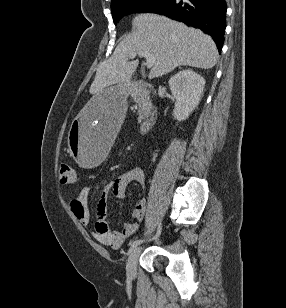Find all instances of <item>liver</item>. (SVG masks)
<instances>
[{
    "label": "liver",
    "instance_id": "obj_1",
    "mask_svg": "<svg viewBox=\"0 0 286 308\" xmlns=\"http://www.w3.org/2000/svg\"><path fill=\"white\" fill-rule=\"evenodd\" d=\"M133 32L115 48L112 56L99 64L90 93L97 96L113 84L127 85L138 66L128 62L130 53L145 51L156 56L149 77H161L178 66L210 69L217 62V48L202 31L156 14L133 19Z\"/></svg>",
    "mask_w": 286,
    "mask_h": 308
}]
</instances>
